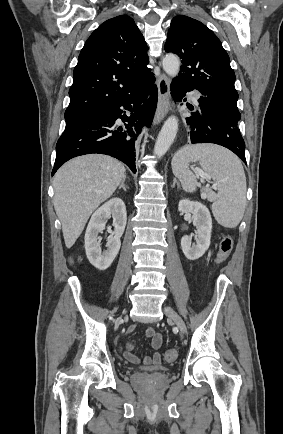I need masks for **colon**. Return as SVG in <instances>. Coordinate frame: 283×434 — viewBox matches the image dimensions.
<instances>
[{"instance_id":"5ec220e1","label":"colon","mask_w":283,"mask_h":434,"mask_svg":"<svg viewBox=\"0 0 283 434\" xmlns=\"http://www.w3.org/2000/svg\"><path fill=\"white\" fill-rule=\"evenodd\" d=\"M233 245H234V241L231 236H225L222 238L219 244L217 258H216L218 264H221L228 259V257L230 256L233 250ZM163 357L166 362L171 363L177 359L178 352L176 349L171 348L164 352Z\"/></svg>"}]
</instances>
